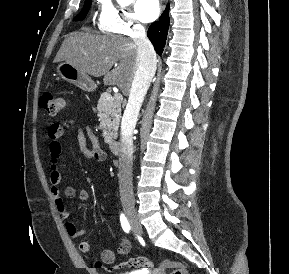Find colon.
<instances>
[{
  "instance_id": "colon-1",
  "label": "colon",
  "mask_w": 289,
  "mask_h": 274,
  "mask_svg": "<svg viewBox=\"0 0 289 274\" xmlns=\"http://www.w3.org/2000/svg\"><path fill=\"white\" fill-rule=\"evenodd\" d=\"M64 106V100L61 97L51 93H44L40 98V107L43 108L49 115H57ZM96 267L100 268V262L96 263ZM153 268V262L147 257L138 256L123 261L111 268L110 270L129 269L132 271L147 272ZM171 270V274H189L187 268L178 262L165 259L161 261L157 271Z\"/></svg>"
}]
</instances>
